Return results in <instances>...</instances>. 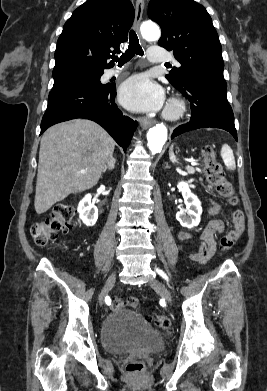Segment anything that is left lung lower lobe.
Instances as JSON below:
<instances>
[{"label": "left lung lower lobe", "mask_w": 267, "mask_h": 391, "mask_svg": "<svg viewBox=\"0 0 267 391\" xmlns=\"http://www.w3.org/2000/svg\"><path fill=\"white\" fill-rule=\"evenodd\" d=\"M191 103L192 118L173 131L171 139L189 130L203 127L224 129L237 140L234 115L227 101L224 79L196 76L176 87Z\"/></svg>", "instance_id": "1"}]
</instances>
